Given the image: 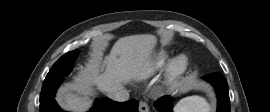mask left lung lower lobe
Masks as SVG:
<instances>
[{
	"instance_id": "obj_1",
	"label": "left lung lower lobe",
	"mask_w": 270,
	"mask_h": 112,
	"mask_svg": "<svg viewBox=\"0 0 270 112\" xmlns=\"http://www.w3.org/2000/svg\"><path fill=\"white\" fill-rule=\"evenodd\" d=\"M207 81H209L215 88L218 99L217 112H230V99L228 93V84L226 79L221 73H212L205 75ZM172 99L170 96H164L158 99L154 106L158 112H172L171 109Z\"/></svg>"
}]
</instances>
